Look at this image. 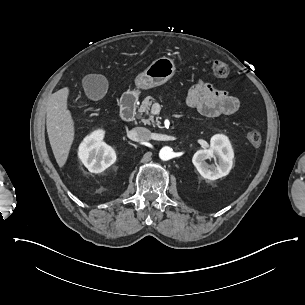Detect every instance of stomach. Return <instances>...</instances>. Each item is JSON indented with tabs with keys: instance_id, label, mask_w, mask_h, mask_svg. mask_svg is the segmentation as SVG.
<instances>
[{
	"instance_id": "stomach-1",
	"label": "stomach",
	"mask_w": 305,
	"mask_h": 305,
	"mask_svg": "<svg viewBox=\"0 0 305 305\" xmlns=\"http://www.w3.org/2000/svg\"><path fill=\"white\" fill-rule=\"evenodd\" d=\"M176 72L177 67L171 58L166 56L157 58L135 77V89L130 92V96L137 100L141 91L166 84Z\"/></svg>"
}]
</instances>
